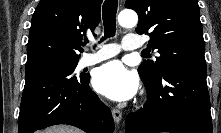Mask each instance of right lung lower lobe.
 <instances>
[{
	"mask_svg": "<svg viewBox=\"0 0 221 133\" xmlns=\"http://www.w3.org/2000/svg\"><path fill=\"white\" fill-rule=\"evenodd\" d=\"M89 75L75 77L59 66L27 70L19 133L68 124L87 133H112L111 112L89 89Z\"/></svg>",
	"mask_w": 221,
	"mask_h": 133,
	"instance_id": "right-lung-lower-lobe-1",
	"label": "right lung lower lobe"
}]
</instances>
